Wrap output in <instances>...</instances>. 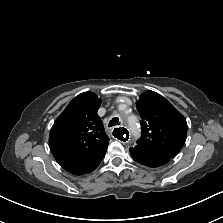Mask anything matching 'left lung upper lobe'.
<instances>
[{"mask_svg":"<svg viewBox=\"0 0 223 223\" xmlns=\"http://www.w3.org/2000/svg\"><path fill=\"white\" fill-rule=\"evenodd\" d=\"M136 105L142 119V135L137 146L174 158L187 136L184 116L153 91L143 93Z\"/></svg>","mask_w":223,"mask_h":223,"instance_id":"left-lung-upper-lobe-1","label":"left lung upper lobe"}]
</instances>
